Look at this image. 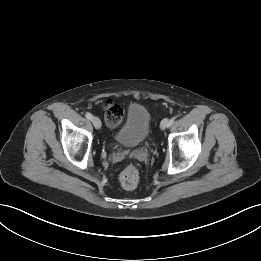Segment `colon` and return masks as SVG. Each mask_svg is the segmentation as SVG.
<instances>
[{
  "instance_id": "obj_1",
  "label": "colon",
  "mask_w": 261,
  "mask_h": 261,
  "mask_svg": "<svg viewBox=\"0 0 261 261\" xmlns=\"http://www.w3.org/2000/svg\"><path fill=\"white\" fill-rule=\"evenodd\" d=\"M124 116L123 108L115 103L109 102L105 107V120L111 127L118 126ZM140 180L138 169L134 165H127L119 175V181L123 188L134 189Z\"/></svg>"
}]
</instances>
